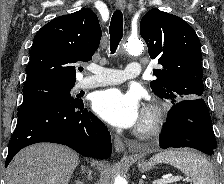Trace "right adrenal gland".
<instances>
[{
    "mask_svg": "<svg viewBox=\"0 0 224 184\" xmlns=\"http://www.w3.org/2000/svg\"><path fill=\"white\" fill-rule=\"evenodd\" d=\"M81 170L82 172H87L88 174V179H90L91 177V172L85 168V166H81ZM76 184H83V181H80V180H76Z\"/></svg>",
    "mask_w": 224,
    "mask_h": 184,
    "instance_id": "obj_1",
    "label": "right adrenal gland"
}]
</instances>
